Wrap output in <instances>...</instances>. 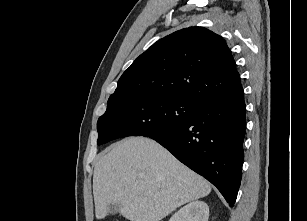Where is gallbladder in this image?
<instances>
[{
  "label": "gallbladder",
  "instance_id": "1",
  "mask_svg": "<svg viewBox=\"0 0 307 221\" xmlns=\"http://www.w3.org/2000/svg\"><path fill=\"white\" fill-rule=\"evenodd\" d=\"M118 210H119V206L117 204L108 205V211L110 214H115L116 212H118Z\"/></svg>",
  "mask_w": 307,
  "mask_h": 221
}]
</instances>
